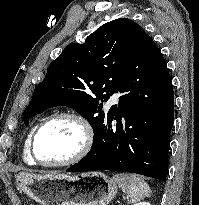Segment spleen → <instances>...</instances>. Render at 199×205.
<instances>
[{"label":"spleen","mask_w":199,"mask_h":205,"mask_svg":"<svg viewBox=\"0 0 199 205\" xmlns=\"http://www.w3.org/2000/svg\"><path fill=\"white\" fill-rule=\"evenodd\" d=\"M113 179L128 195L131 203L142 200L151 194L149 185L139 176L119 173L114 175Z\"/></svg>","instance_id":"1"}]
</instances>
